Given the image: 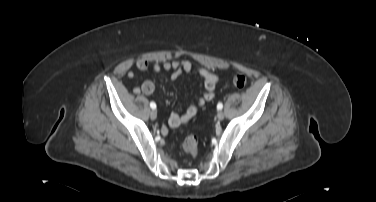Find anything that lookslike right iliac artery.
Masks as SVG:
<instances>
[{"label": "right iliac artery", "mask_w": 376, "mask_h": 202, "mask_svg": "<svg viewBox=\"0 0 376 202\" xmlns=\"http://www.w3.org/2000/svg\"><path fill=\"white\" fill-rule=\"evenodd\" d=\"M150 107H151L152 109H156V104H155L154 102H151V103H150Z\"/></svg>", "instance_id": "obj_1"}]
</instances>
